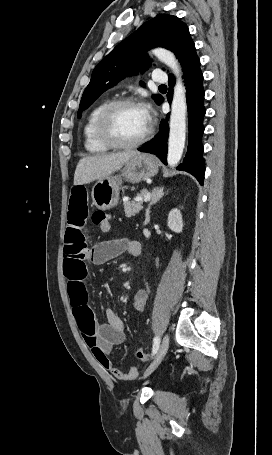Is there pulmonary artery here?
<instances>
[{"instance_id": "obj_1", "label": "pulmonary artery", "mask_w": 272, "mask_h": 455, "mask_svg": "<svg viewBox=\"0 0 272 455\" xmlns=\"http://www.w3.org/2000/svg\"><path fill=\"white\" fill-rule=\"evenodd\" d=\"M152 78H153V81L155 83H159V84H165L168 81L167 75L164 72L160 71V70H156L153 73Z\"/></svg>"}]
</instances>
